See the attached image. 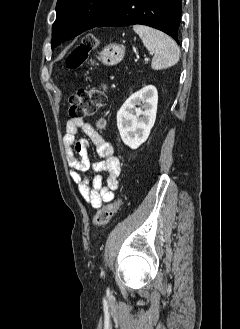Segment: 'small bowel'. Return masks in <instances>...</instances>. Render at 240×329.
<instances>
[{
	"instance_id": "c3829d8e",
	"label": "small bowel",
	"mask_w": 240,
	"mask_h": 329,
	"mask_svg": "<svg viewBox=\"0 0 240 329\" xmlns=\"http://www.w3.org/2000/svg\"><path fill=\"white\" fill-rule=\"evenodd\" d=\"M82 130L86 138H77L79 130ZM89 141L95 146L100 162L92 163L88 154ZM63 144L68 165L71 167V178L76 183L78 191L83 199L94 208H101L114 198V192L118 188L120 164L113 154L112 146L105 141L103 136L92 125L80 118H72L66 124V133ZM93 168L96 171H104L107 176H95L91 181L82 175L83 172Z\"/></svg>"
}]
</instances>
